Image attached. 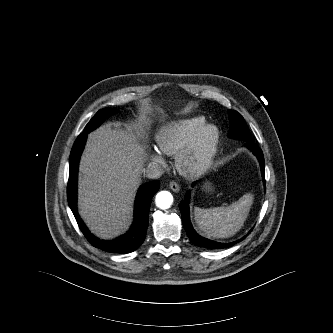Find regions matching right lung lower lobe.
<instances>
[{
    "instance_id": "obj_1",
    "label": "right lung lower lobe",
    "mask_w": 333,
    "mask_h": 333,
    "mask_svg": "<svg viewBox=\"0 0 333 333\" xmlns=\"http://www.w3.org/2000/svg\"><path fill=\"white\" fill-rule=\"evenodd\" d=\"M86 138L87 133L83 132L79 135L71 150L67 189L69 206L76 218L79 228L94 247L111 253H130L136 250L145 239L152 197L159 190L160 182L157 180L148 182L139 188L135 201L134 222L126 234L114 240H99L90 233L77 213V172L80 155Z\"/></svg>"
}]
</instances>
